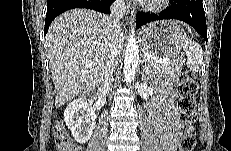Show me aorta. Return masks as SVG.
Returning a JSON list of instances; mask_svg holds the SVG:
<instances>
[{
    "mask_svg": "<svg viewBox=\"0 0 231 151\" xmlns=\"http://www.w3.org/2000/svg\"><path fill=\"white\" fill-rule=\"evenodd\" d=\"M139 62V46L135 38V29L131 27L128 44L125 51L123 73L126 83L131 82L136 74Z\"/></svg>",
    "mask_w": 231,
    "mask_h": 151,
    "instance_id": "1",
    "label": "aorta"
}]
</instances>
